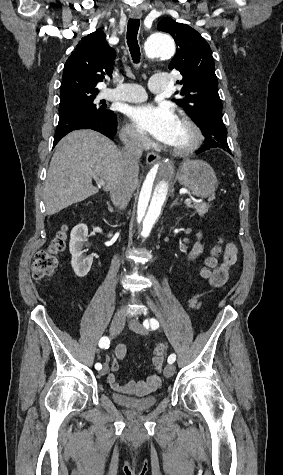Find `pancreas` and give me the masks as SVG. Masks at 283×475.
<instances>
[{
    "instance_id": "1",
    "label": "pancreas",
    "mask_w": 283,
    "mask_h": 475,
    "mask_svg": "<svg viewBox=\"0 0 283 475\" xmlns=\"http://www.w3.org/2000/svg\"><path fill=\"white\" fill-rule=\"evenodd\" d=\"M192 208H195L198 216L203 218L204 214H207L209 206L205 202H201V204H192Z\"/></svg>"
}]
</instances>
